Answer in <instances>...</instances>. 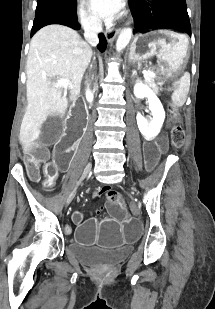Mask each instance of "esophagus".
<instances>
[{
    "mask_svg": "<svg viewBox=\"0 0 215 309\" xmlns=\"http://www.w3.org/2000/svg\"><path fill=\"white\" fill-rule=\"evenodd\" d=\"M117 34L118 30H114L113 28H107L105 32V37L108 42H112Z\"/></svg>",
    "mask_w": 215,
    "mask_h": 309,
    "instance_id": "esophagus-1",
    "label": "esophagus"
}]
</instances>
